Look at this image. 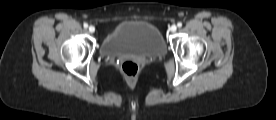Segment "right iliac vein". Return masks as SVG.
Listing matches in <instances>:
<instances>
[{
  "label": "right iliac vein",
  "instance_id": "1",
  "mask_svg": "<svg viewBox=\"0 0 276 120\" xmlns=\"http://www.w3.org/2000/svg\"><path fill=\"white\" fill-rule=\"evenodd\" d=\"M88 30H89L90 33H94L95 32V27L94 26H90Z\"/></svg>",
  "mask_w": 276,
  "mask_h": 120
}]
</instances>
